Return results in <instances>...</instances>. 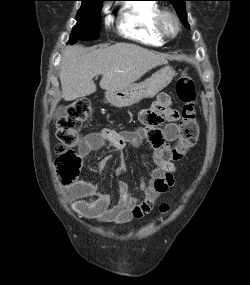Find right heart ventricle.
<instances>
[{"label": "right heart ventricle", "mask_w": 250, "mask_h": 285, "mask_svg": "<svg viewBox=\"0 0 250 285\" xmlns=\"http://www.w3.org/2000/svg\"><path fill=\"white\" fill-rule=\"evenodd\" d=\"M160 7L151 0L127 3L120 12L119 31L127 38L148 46H161L164 40L155 31L154 20Z\"/></svg>", "instance_id": "e07e8e85"}]
</instances>
